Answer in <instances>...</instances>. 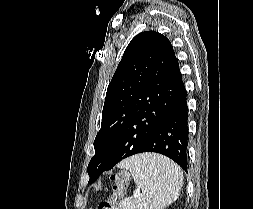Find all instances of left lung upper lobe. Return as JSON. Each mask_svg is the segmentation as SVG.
Here are the masks:
<instances>
[{
  "instance_id": "obj_1",
  "label": "left lung upper lobe",
  "mask_w": 253,
  "mask_h": 209,
  "mask_svg": "<svg viewBox=\"0 0 253 209\" xmlns=\"http://www.w3.org/2000/svg\"><path fill=\"white\" fill-rule=\"evenodd\" d=\"M181 84L179 63L165 36L147 31L131 40L107 88L89 183L142 147L170 112Z\"/></svg>"
}]
</instances>
